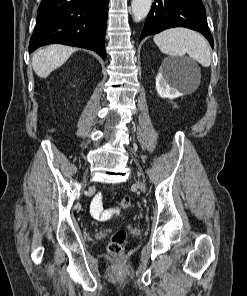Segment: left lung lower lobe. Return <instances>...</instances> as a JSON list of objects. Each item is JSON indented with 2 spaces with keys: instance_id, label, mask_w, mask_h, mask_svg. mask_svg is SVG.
Listing matches in <instances>:
<instances>
[{
  "instance_id": "1",
  "label": "left lung lower lobe",
  "mask_w": 247,
  "mask_h": 296,
  "mask_svg": "<svg viewBox=\"0 0 247 296\" xmlns=\"http://www.w3.org/2000/svg\"><path fill=\"white\" fill-rule=\"evenodd\" d=\"M172 27H185L202 33L213 48L202 0H154L139 41Z\"/></svg>"
}]
</instances>
